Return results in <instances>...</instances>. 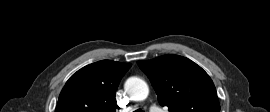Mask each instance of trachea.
<instances>
[{
	"instance_id": "obj_1",
	"label": "trachea",
	"mask_w": 270,
	"mask_h": 112,
	"mask_svg": "<svg viewBox=\"0 0 270 112\" xmlns=\"http://www.w3.org/2000/svg\"><path fill=\"white\" fill-rule=\"evenodd\" d=\"M134 112H145V111H142L141 109H137Z\"/></svg>"
}]
</instances>
